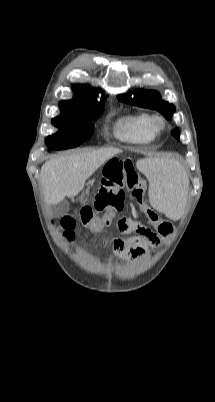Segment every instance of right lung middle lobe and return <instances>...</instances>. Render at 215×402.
Here are the masks:
<instances>
[{
    "label": "right lung middle lobe",
    "mask_w": 215,
    "mask_h": 402,
    "mask_svg": "<svg viewBox=\"0 0 215 402\" xmlns=\"http://www.w3.org/2000/svg\"><path fill=\"white\" fill-rule=\"evenodd\" d=\"M104 101L105 98L92 103L60 102L61 115L52 119L53 125L58 127L59 131L45 139L49 150L73 148L86 141L93 129L90 118L101 113Z\"/></svg>",
    "instance_id": "dd1d6c3e"
}]
</instances>
